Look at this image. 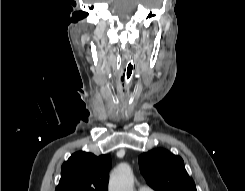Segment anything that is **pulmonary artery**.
Instances as JSON below:
<instances>
[{
	"label": "pulmonary artery",
	"instance_id": "obj_1",
	"mask_svg": "<svg viewBox=\"0 0 245 191\" xmlns=\"http://www.w3.org/2000/svg\"><path fill=\"white\" fill-rule=\"evenodd\" d=\"M138 191H153V189L148 186H140Z\"/></svg>",
	"mask_w": 245,
	"mask_h": 191
}]
</instances>
